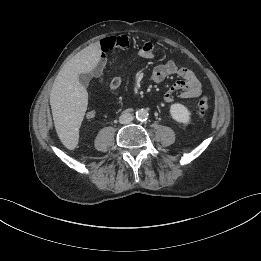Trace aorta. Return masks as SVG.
<instances>
[{
    "label": "aorta",
    "instance_id": "obj_1",
    "mask_svg": "<svg viewBox=\"0 0 261 261\" xmlns=\"http://www.w3.org/2000/svg\"><path fill=\"white\" fill-rule=\"evenodd\" d=\"M148 111L145 110V109H139L137 112H136V118L140 121H144V120H147L148 118Z\"/></svg>",
    "mask_w": 261,
    "mask_h": 261
}]
</instances>
